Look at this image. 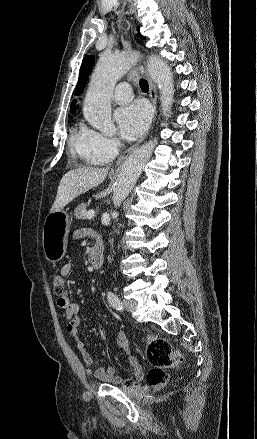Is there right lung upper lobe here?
Returning a JSON list of instances; mask_svg holds the SVG:
<instances>
[{
	"mask_svg": "<svg viewBox=\"0 0 257 439\" xmlns=\"http://www.w3.org/2000/svg\"><path fill=\"white\" fill-rule=\"evenodd\" d=\"M75 103H76L75 100L71 103L70 112H74L75 111V109H76Z\"/></svg>",
	"mask_w": 257,
	"mask_h": 439,
	"instance_id": "obj_1",
	"label": "right lung upper lobe"
}]
</instances>
